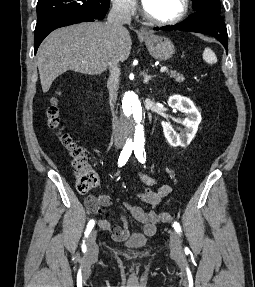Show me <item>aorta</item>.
<instances>
[{
  "label": "aorta",
  "mask_w": 255,
  "mask_h": 287,
  "mask_svg": "<svg viewBox=\"0 0 255 287\" xmlns=\"http://www.w3.org/2000/svg\"><path fill=\"white\" fill-rule=\"evenodd\" d=\"M127 143L129 146H143L145 142L144 110L134 92H126L123 98Z\"/></svg>",
  "instance_id": "obj_1"
}]
</instances>
